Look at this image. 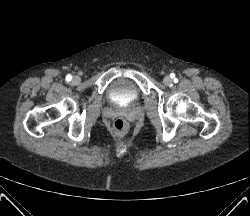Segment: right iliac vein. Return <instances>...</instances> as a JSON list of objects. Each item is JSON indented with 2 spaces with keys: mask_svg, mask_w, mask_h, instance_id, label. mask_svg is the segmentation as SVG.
<instances>
[{
  "mask_svg": "<svg viewBox=\"0 0 250 216\" xmlns=\"http://www.w3.org/2000/svg\"><path fill=\"white\" fill-rule=\"evenodd\" d=\"M81 81L80 77L79 76H74L73 79H72V82L74 84H79Z\"/></svg>",
  "mask_w": 250,
  "mask_h": 216,
  "instance_id": "obj_1",
  "label": "right iliac vein"
}]
</instances>
